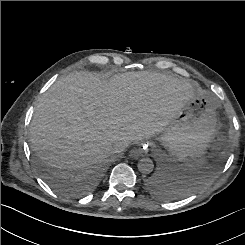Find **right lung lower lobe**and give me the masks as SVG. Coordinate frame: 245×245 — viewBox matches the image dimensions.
<instances>
[{"mask_svg":"<svg viewBox=\"0 0 245 245\" xmlns=\"http://www.w3.org/2000/svg\"><path fill=\"white\" fill-rule=\"evenodd\" d=\"M49 184L59 193L65 196H74L76 192L72 189L65 176H52L48 178Z\"/></svg>","mask_w":245,"mask_h":245,"instance_id":"98d812e1","label":"right lung lower lobe"}]
</instances>
